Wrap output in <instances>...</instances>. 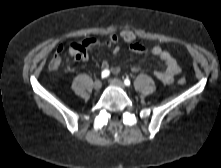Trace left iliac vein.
Masks as SVG:
<instances>
[{"label": "left iliac vein", "instance_id": "left-iliac-vein-1", "mask_svg": "<svg viewBox=\"0 0 221 168\" xmlns=\"http://www.w3.org/2000/svg\"><path fill=\"white\" fill-rule=\"evenodd\" d=\"M109 82H110V84H112L116 87H119V88H122V89L126 88L124 83L118 78H112V79L109 80Z\"/></svg>", "mask_w": 221, "mask_h": 168}]
</instances>
